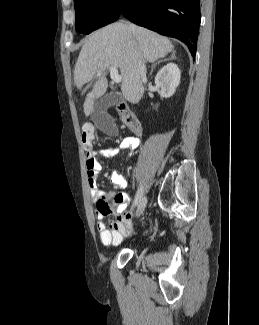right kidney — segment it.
<instances>
[{
	"label": "right kidney",
	"instance_id": "ca27d5eb",
	"mask_svg": "<svg viewBox=\"0 0 259 325\" xmlns=\"http://www.w3.org/2000/svg\"><path fill=\"white\" fill-rule=\"evenodd\" d=\"M180 78L181 71L175 63L162 67L155 77V84L161 89L160 95L164 98L171 97L180 83Z\"/></svg>",
	"mask_w": 259,
	"mask_h": 325
}]
</instances>
